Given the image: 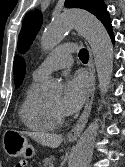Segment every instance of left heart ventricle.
<instances>
[{
    "instance_id": "1",
    "label": "left heart ventricle",
    "mask_w": 125,
    "mask_h": 167,
    "mask_svg": "<svg viewBox=\"0 0 125 167\" xmlns=\"http://www.w3.org/2000/svg\"><path fill=\"white\" fill-rule=\"evenodd\" d=\"M60 102L61 98L60 96H55L47 101V103L53 107L54 109L60 110Z\"/></svg>"
}]
</instances>
